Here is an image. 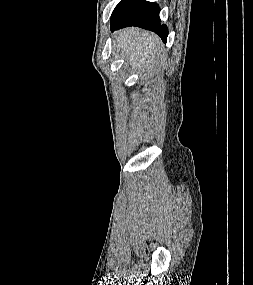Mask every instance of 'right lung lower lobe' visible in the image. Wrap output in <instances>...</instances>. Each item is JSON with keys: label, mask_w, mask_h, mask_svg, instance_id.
Masks as SVG:
<instances>
[{"label": "right lung lower lobe", "mask_w": 253, "mask_h": 285, "mask_svg": "<svg viewBox=\"0 0 253 285\" xmlns=\"http://www.w3.org/2000/svg\"><path fill=\"white\" fill-rule=\"evenodd\" d=\"M159 6L146 0H121L111 16V30L138 26L158 34L166 43L168 29L160 24Z\"/></svg>", "instance_id": "right-lung-lower-lobe-1"}]
</instances>
